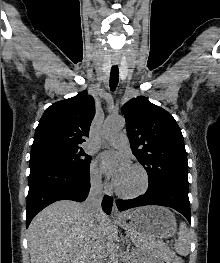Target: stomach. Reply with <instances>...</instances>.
<instances>
[{
  "label": "stomach",
  "mask_w": 220,
  "mask_h": 263,
  "mask_svg": "<svg viewBox=\"0 0 220 263\" xmlns=\"http://www.w3.org/2000/svg\"><path fill=\"white\" fill-rule=\"evenodd\" d=\"M118 222L145 248H152V242L171 237L177 230L173 213L161 206L136 208L124 213Z\"/></svg>",
  "instance_id": "0dacf381"
}]
</instances>
